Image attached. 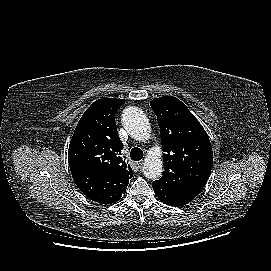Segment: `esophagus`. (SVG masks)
<instances>
[{
  "label": "esophagus",
  "instance_id": "34e87169",
  "mask_svg": "<svg viewBox=\"0 0 271 271\" xmlns=\"http://www.w3.org/2000/svg\"><path fill=\"white\" fill-rule=\"evenodd\" d=\"M143 164H144V161H143V160L139 161V162L137 163L138 168L141 169V168L143 167Z\"/></svg>",
  "mask_w": 271,
  "mask_h": 271
}]
</instances>
